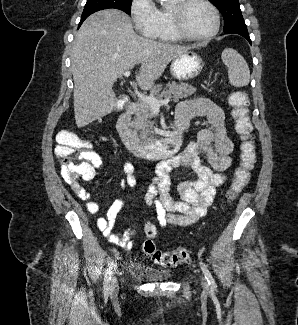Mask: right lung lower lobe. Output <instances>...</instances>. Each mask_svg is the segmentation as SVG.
<instances>
[{
    "label": "right lung lower lobe",
    "mask_w": 298,
    "mask_h": 325,
    "mask_svg": "<svg viewBox=\"0 0 298 325\" xmlns=\"http://www.w3.org/2000/svg\"><path fill=\"white\" fill-rule=\"evenodd\" d=\"M83 21H84V20H81V21H80L79 27H80V25L82 24Z\"/></svg>",
    "instance_id": "98d812e1"
}]
</instances>
